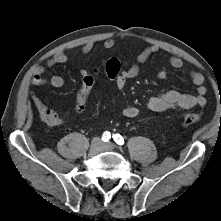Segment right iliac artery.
<instances>
[{
  "label": "right iliac artery",
  "instance_id": "1",
  "mask_svg": "<svg viewBox=\"0 0 221 221\" xmlns=\"http://www.w3.org/2000/svg\"><path fill=\"white\" fill-rule=\"evenodd\" d=\"M111 138V134H110V132H104L103 133V135H102V140L104 141V142H107L109 139Z\"/></svg>",
  "mask_w": 221,
  "mask_h": 221
}]
</instances>
